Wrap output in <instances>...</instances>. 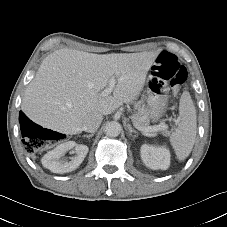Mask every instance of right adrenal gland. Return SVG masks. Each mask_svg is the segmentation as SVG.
<instances>
[{"label":"right adrenal gland","instance_id":"2a0ac1e0","mask_svg":"<svg viewBox=\"0 0 227 227\" xmlns=\"http://www.w3.org/2000/svg\"><path fill=\"white\" fill-rule=\"evenodd\" d=\"M94 136V133H92V134H86V135H84L83 137L84 138H91V137H93Z\"/></svg>","mask_w":227,"mask_h":227}]
</instances>
